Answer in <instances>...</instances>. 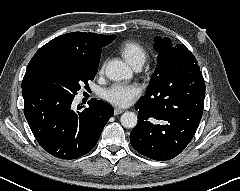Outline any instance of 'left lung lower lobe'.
<instances>
[{"label": "left lung lower lobe", "instance_id": "obj_1", "mask_svg": "<svg viewBox=\"0 0 240 191\" xmlns=\"http://www.w3.org/2000/svg\"><path fill=\"white\" fill-rule=\"evenodd\" d=\"M203 76L188 80L180 93L139 100L138 124L130 133L132 147L153 160L176 157L192 140L204 107Z\"/></svg>", "mask_w": 240, "mask_h": 191}]
</instances>
